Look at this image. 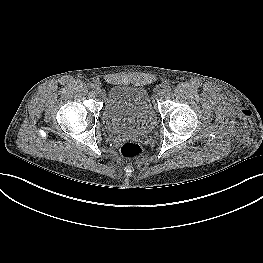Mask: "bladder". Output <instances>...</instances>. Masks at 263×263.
Instances as JSON below:
<instances>
[{
  "mask_svg": "<svg viewBox=\"0 0 263 263\" xmlns=\"http://www.w3.org/2000/svg\"><path fill=\"white\" fill-rule=\"evenodd\" d=\"M105 129L112 134L149 133L156 121L154 109L144 89L112 85L102 114Z\"/></svg>",
  "mask_w": 263,
  "mask_h": 263,
  "instance_id": "bladder-1",
  "label": "bladder"
}]
</instances>
